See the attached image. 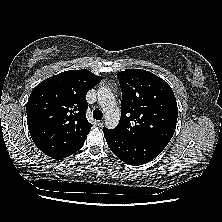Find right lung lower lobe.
<instances>
[{"label": "right lung lower lobe", "mask_w": 222, "mask_h": 222, "mask_svg": "<svg viewBox=\"0 0 222 222\" xmlns=\"http://www.w3.org/2000/svg\"><path fill=\"white\" fill-rule=\"evenodd\" d=\"M77 152V151H76ZM75 153V152H74ZM73 154V153H72ZM72 154H70V155H72ZM70 155H58V156H55V157H52L53 159H57V160H61V159H63V158H65V157H68V156H70Z\"/></svg>", "instance_id": "1"}]
</instances>
